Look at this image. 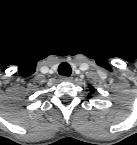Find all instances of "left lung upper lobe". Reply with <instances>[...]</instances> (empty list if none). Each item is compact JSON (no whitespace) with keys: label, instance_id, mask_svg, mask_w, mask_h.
Returning <instances> with one entry per match:
<instances>
[{"label":"left lung upper lobe","instance_id":"left-lung-upper-lobe-1","mask_svg":"<svg viewBox=\"0 0 137 145\" xmlns=\"http://www.w3.org/2000/svg\"><path fill=\"white\" fill-rule=\"evenodd\" d=\"M89 87H90V94L88 95V97H90L91 94H93L95 91L93 86L89 85Z\"/></svg>","mask_w":137,"mask_h":145}]
</instances>
